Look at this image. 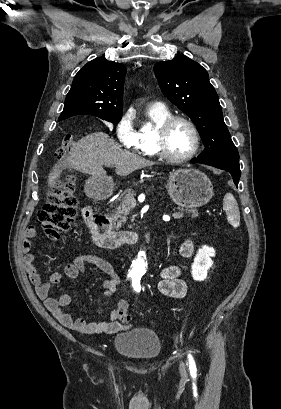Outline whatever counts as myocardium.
Masks as SVG:
<instances>
[{"label": "myocardium", "mask_w": 281, "mask_h": 409, "mask_svg": "<svg viewBox=\"0 0 281 409\" xmlns=\"http://www.w3.org/2000/svg\"><path fill=\"white\" fill-rule=\"evenodd\" d=\"M177 122H182L187 125L194 138L192 150L188 154L179 157L171 155L166 147L167 134L170 128ZM200 142V134L196 125L189 118L182 115H172L168 117L153 130V143L157 155L171 162L180 163L192 159L199 151Z\"/></svg>", "instance_id": "obj_1"}]
</instances>
